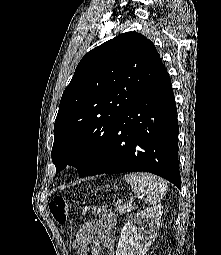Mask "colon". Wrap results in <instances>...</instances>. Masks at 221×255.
<instances>
[{
  "instance_id": "1",
  "label": "colon",
  "mask_w": 221,
  "mask_h": 255,
  "mask_svg": "<svg viewBox=\"0 0 221 255\" xmlns=\"http://www.w3.org/2000/svg\"><path fill=\"white\" fill-rule=\"evenodd\" d=\"M49 210L58 224H65L69 215V206L62 197H55L49 203Z\"/></svg>"
}]
</instances>
